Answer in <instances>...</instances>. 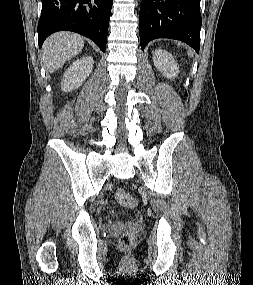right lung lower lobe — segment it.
<instances>
[{"label": "right lung lower lobe", "instance_id": "obj_1", "mask_svg": "<svg viewBox=\"0 0 253 285\" xmlns=\"http://www.w3.org/2000/svg\"><path fill=\"white\" fill-rule=\"evenodd\" d=\"M113 0H42L38 43L52 33L73 31L93 40L105 52Z\"/></svg>", "mask_w": 253, "mask_h": 285}]
</instances>
